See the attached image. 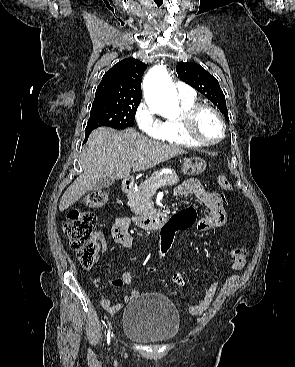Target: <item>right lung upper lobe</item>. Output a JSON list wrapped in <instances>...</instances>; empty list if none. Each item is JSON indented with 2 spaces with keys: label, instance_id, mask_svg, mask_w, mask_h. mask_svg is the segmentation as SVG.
I'll list each match as a JSON object with an SVG mask.
<instances>
[{
  "label": "right lung upper lobe",
  "instance_id": "right-lung-upper-lobe-1",
  "mask_svg": "<svg viewBox=\"0 0 295 367\" xmlns=\"http://www.w3.org/2000/svg\"><path fill=\"white\" fill-rule=\"evenodd\" d=\"M146 65L134 58L115 64L102 78L96 97L109 96L128 100H141V79Z\"/></svg>",
  "mask_w": 295,
  "mask_h": 367
}]
</instances>
